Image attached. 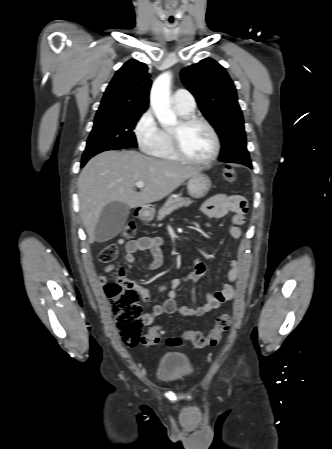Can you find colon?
Wrapping results in <instances>:
<instances>
[{
  "instance_id": "5ec220e1",
  "label": "colon",
  "mask_w": 332,
  "mask_h": 449,
  "mask_svg": "<svg viewBox=\"0 0 332 449\" xmlns=\"http://www.w3.org/2000/svg\"><path fill=\"white\" fill-rule=\"evenodd\" d=\"M223 177L228 182L236 180V170L233 166L227 165L223 169ZM136 233L134 222H128L122 235L124 238H132ZM123 239H119L108 244L98 254L100 263H109L115 259ZM104 291L111 302V310L117 320L119 334L123 342L130 347L142 345H154L160 340L163 331L160 327L154 326L145 334L142 333V308L138 303V294L132 285L127 281H113L104 284ZM231 325V317L228 314L220 315L214 327L203 335L198 331H187L182 337L168 338L169 345H179L183 341H188L197 348L205 346H215L227 332Z\"/></svg>"
}]
</instances>
